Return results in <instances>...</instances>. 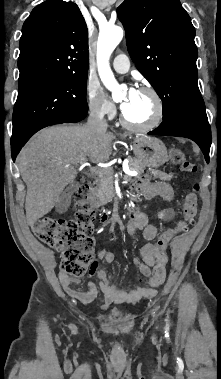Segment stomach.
<instances>
[{
	"mask_svg": "<svg viewBox=\"0 0 221 379\" xmlns=\"http://www.w3.org/2000/svg\"><path fill=\"white\" fill-rule=\"evenodd\" d=\"M133 152L145 166L158 168L168 160L167 148L161 140L149 136H136Z\"/></svg>",
	"mask_w": 221,
	"mask_h": 379,
	"instance_id": "0dacf381",
	"label": "stomach"
}]
</instances>
